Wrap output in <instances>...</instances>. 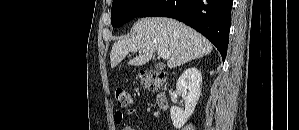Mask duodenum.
I'll return each instance as SVG.
<instances>
[{
    "label": "duodenum",
    "mask_w": 299,
    "mask_h": 130,
    "mask_svg": "<svg viewBox=\"0 0 299 130\" xmlns=\"http://www.w3.org/2000/svg\"><path fill=\"white\" fill-rule=\"evenodd\" d=\"M156 104L161 110H165L168 107L167 95L164 92H160L157 94Z\"/></svg>",
    "instance_id": "obj_1"
}]
</instances>
